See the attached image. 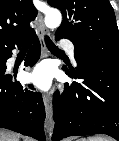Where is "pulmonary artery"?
Returning a JSON list of instances; mask_svg holds the SVG:
<instances>
[{
  "label": "pulmonary artery",
  "instance_id": "pulmonary-artery-1",
  "mask_svg": "<svg viewBox=\"0 0 119 141\" xmlns=\"http://www.w3.org/2000/svg\"><path fill=\"white\" fill-rule=\"evenodd\" d=\"M61 46L65 47L68 50V52L70 53V55L73 57V55H74V46H73L72 43L63 41V42H61Z\"/></svg>",
  "mask_w": 119,
  "mask_h": 141
}]
</instances>
